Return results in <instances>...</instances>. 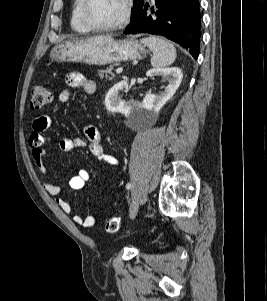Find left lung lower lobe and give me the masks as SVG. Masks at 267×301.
I'll return each mask as SVG.
<instances>
[{
  "label": "left lung lower lobe",
  "instance_id": "0a47b994",
  "mask_svg": "<svg viewBox=\"0 0 267 301\" xmlns=\"http://www.w3.org/2000/svg\"><path fill=\"white\" fill-rule=\"evenodd\" d=\"M148 12L144 3L124 34H152L166 37L189 50L197 59L201 35L199 0H155Z\"/></svg>",
  "mask_w": 267,
  "mask_h": 301
}]
</instances>
